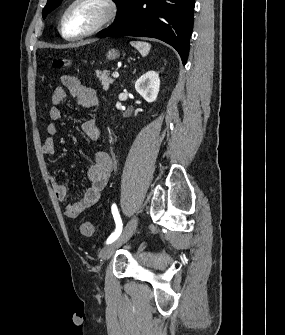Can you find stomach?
Listing matches in <instances>:
<instances>
[{
	"label": "stomach",
	"instance_id": "0dacf381",
	"mask_svg": "<svg viewBox=\"0 0 285 335\" xmlns=\"http://www.w3.org/2000/svg\"><path fill=\"white\" fill-rule=\"evenodd\" d=\"M118 56H119L118 50H109V52H107L106 54L107 60H116Z\"/></svg>",
	"mask_w": 285,
	"mask_h": 335
}]
</instances>
